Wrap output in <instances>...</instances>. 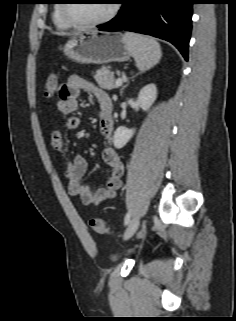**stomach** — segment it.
I'll list each match as a JSON object with an SVG mask.
<instances>
[{
  "mask_svg": "<svg viewBox=\"0 0 236 321\" xmlns=\"http://www.w3.org/2000/svg\"><path fill=\"white\" fill-rule=\"evenodd\" d=\"M63 52L81 64H106L130 59L131 50L118 32L86 31L76 33L65 44Z\"/></svg>",
  "mask_w": 236,
  "mask_h": 321,
  "instance_id": "obj_1",
  "label": "stomach"
}]
</instances>
